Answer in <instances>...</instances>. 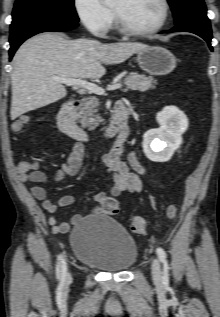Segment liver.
Returning a JSON list of instances; mask_svg holds the SVG:
<instances>
[{"instance_id": "obj_1", "label": "liver", "mask_w": 220, "mask_h": 317, "mask_svg": "<svg viewBox=\"0 0 220 317\" xmlns=\"http://www.w3.org/2000/svg\"><path fill=\"white\" fill-rule=\"evenodd\" d=\"M147 47L138 42L102 44L90 39L70 40L45 32L23 43L13 58L11 119L54 103L67 95L61 78L98 79L102 64H118Z\"/></svg>"}]
</instances>
